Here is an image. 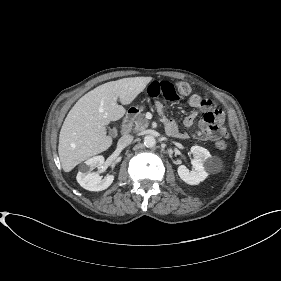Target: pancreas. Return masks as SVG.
Returning <instances> with one entry per match:
<instances>
[{
  "mask_svg": "<svg viewBox=\"0 0 281 281\" xmlns=\"http://www.w3.org/2000/svg\"><path fill=\"white\" fill-rule=\"evenodd\" d=\"M149 125L148 120L144 117V114H139L134 119H131L128 123L129 129H134V131H144Z\"/></svg>",
  "mask_w": 281,
  "mask_h": 281,
  "instance_id": "pancreas-1",
  "label": "pancreas"
}]
</instances>
